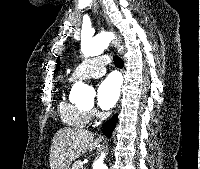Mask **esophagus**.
<instances>
[{"label": "esophagus", "instance_id": "esophagus-1", "mask_svg": "<svg viewBox=\"0 0 200 169\" xmlns=\"http://www.w3.org/2000/svg\"><path fill=\"white\" fill-rule=\"evenodd\" d=\"M101 9H102V10H101V14H102L103 17H104L106 24L108 25V27H109L110 29H112L111 23H110V21H109L107 15H106V13H105V10H104V8H103L102 6H101ZM112 47L118 52V54H121V53H120V44H119L117 38H115V39L112 41Z\"/></svg>", "mask_w": 200, "mask_h": 169}]
</instances>
